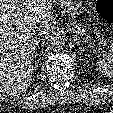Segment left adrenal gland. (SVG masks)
Masks as SVG:
<instances>
[{
	"mask_svg": "<svg viewBox=\"0 0 113 113\" xmlns=\"http://www.w3.org/2000/svg\"><path fill=\"white\" fill-rule=\"evenodd\" d=\"M78 46H79V50H80V54H83V50H82V47L80 46V43L77 42Z\"/></svg>",
	"mask_w": 113,
	"mask_h": 113,
	"instance_id": "1",
	"label": "left adrenal gland"
}]
</instances>
